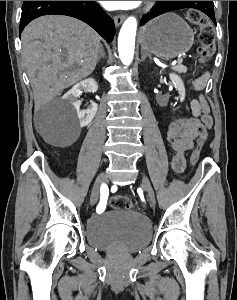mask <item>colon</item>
Listing matches in <instances>:
<instances>
[{"label":"colon","mask_w":237,"mask_h":300,"mask_svg":"<svg viewBox=\"0 0 237 300\" xmlns=\"http://www.w3.org/2000/svg\"><path fill=\"white\" fill-rule=\"evenodd\" d=\"M187 19L200 28L199 42L200 46L197 50V60L201 64L209 61L215 51V32L210 20L197 9H191L187 12ZM203 140L198 139L196 147L191 156V163L195 165L200 157ZM110 204L113 208L119 210L130 209L133 203L127 197L122 195H114L110 198Z\"/></svg>","instance_id":"obj_1"}]
</instances>
